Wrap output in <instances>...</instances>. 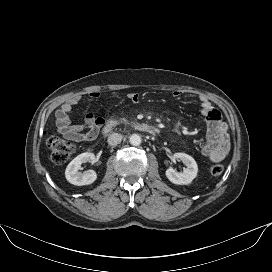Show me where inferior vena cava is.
I'll use <instances>...</instances> for the list:
<instances>
[{"label": "inferior vena cava", "instance_id": "inferior-vena-cava-1", "mask_svg": "<svg viewBox=\"0 0 272 272\" xmlns=\"http://www.w3.org/2000/svg\"><path fill=\"white\" fill-rule=\"evenodd\" d=\"M121 140H122L121 134L112 133L109 135L107 142L110 146H116L117 144L121 142Z\"/></svg>", "mask_w": 272, "mask_h": 272}]
</instances>
